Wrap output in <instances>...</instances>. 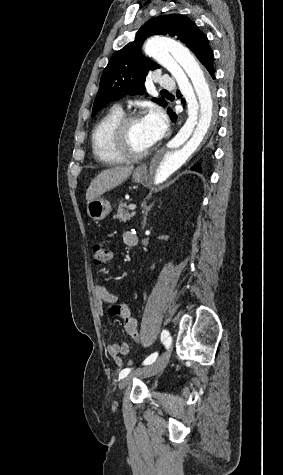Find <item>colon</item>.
Masks as SVG:
<instances>
[{"mask_svg": "<svg viewBox=\"0 0 283 475\" xmlns=\"http://www.w3.org/2000/svg\"><path fill=\"white\" fill-rule=\"evenodd\" d=\"M92 259L95 267L103 266L110 259V252L100 242H97L92 247ZM106 310L121 318L129 337L136 342L139 341L140 338L137 321L134 316L131 315L130 307L128 305H112Z\"/></svg>", "mask_w": 283, "mask_h": 475, "instance_id": "1", "label": "colon"}]
</instances>
